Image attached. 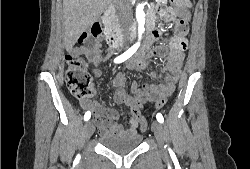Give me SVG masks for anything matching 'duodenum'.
<instances>
[{"instance_id":"410a0bca","label":"duodenum","mask_w":250,"mask_h":169,"mask_svg":"<svg viewBox=\"0 0 250 169\" xmlns=\"http://www.w3.org/2000/svg\"><path fill=\"white\" fill-rule=\"evenodd\" d=\"M104 26L106 29L105 37L108 44L112 48H119L126 43H133L137 37V28H134L127 36L124 35L121 31L116 29L114 26L113 18L109 11L105 12L104 17ZM151 35H148V31L146 30L141 36L142 40H145V43H149Z\"/></svg>"}]
</instances>
